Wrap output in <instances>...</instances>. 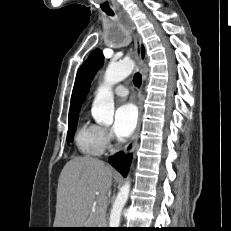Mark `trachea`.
<instances>
[{
    "instance_id": "3493384b",
    "label": "trachea",
    "mask_w": 231,
    "mask_h": 231,
    "mask_svg": "<svg viewBox=\"0 0 231 231\" xmlns=\"http://www.w3.org/2000/svg\"><path fill=\"white\" fill-rule=\"evenodd\" d=\"M108 15H113V13H107ZM141 74L140 73H136L133 77V83L136 87H140L141 85Z\"/></svg>"
}]
</instances>
